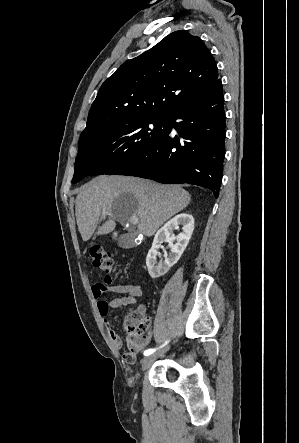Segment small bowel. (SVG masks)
I'll use <instances>...</instances> for the list:
<instances>
[{
	"label": "small bowel",
	"mask_w": 299,
	"mask_h": 443,
	"mask_svg": "<svg viewBox=\"0 0 299 443\" xmlns=\"http://www.w3.org/2000/svg\"><path fill=\"white\" fill-rule=\"evenodd\" d=\"M105 292H113L117 296L111 300H106L104 298ZM92 294L97 301V308L101 316L106 317L110 310L119 309L129 305H134L137 303L138 299L143 295V289L138 284H114L111 286H106L103 283H96L92 287ZM144 311L143 306L138 308ZM106 332L116 349H121L123 346L122 340L119 335L113 329L110 321L104 319L103 321ZM151 336L147 335L138 340L127 341L128 351L123 354V358L127 363H134L136 356L144 350V348L150 343Z\"/></svg>",
	"instance_id": "obj_1"
}]
</instances>
